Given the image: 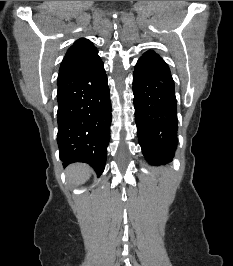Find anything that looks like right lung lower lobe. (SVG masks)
I'll return each instance as SVG.
<instances>
[{"instance_id": "98d812e1", "label": "right lung lower lobe", "mask_w": 233, "mask_h": 266, "mask_svg": "<svg viewBox=\"0 0 233 266\" xmlns=\"http://www.w3.org/2000/svg\"><path fill=\"white\" fill-rule=\"evenodd\" d=\"M57 84V142L63 165L85 162L99 177L105 167L111 124L104 64L97 55Z\"/></svg>"}]
</instances>
